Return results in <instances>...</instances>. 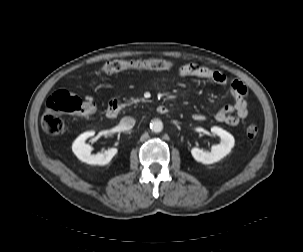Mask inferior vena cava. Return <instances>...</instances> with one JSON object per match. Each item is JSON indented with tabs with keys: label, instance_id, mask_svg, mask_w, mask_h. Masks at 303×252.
Segmentation results:
<instances>
[{
	"label": "inferior vena cava",
	"instance_id": "1",
	"mask_svg": "<svg viewBox=\"0 0 303 252\" xmlns=\"http://www.w3.org/2000/svg\"><path fill=\"white\" fill-rule=\"evenodd\" d=\"M120 124L125 128V129H131L133 128V126L135 125V119L130 117V116H126L123 117L120 121Z\"/></svg>",
	"mask_w": 303,
	"mask_h": 252
}]
</instances>
